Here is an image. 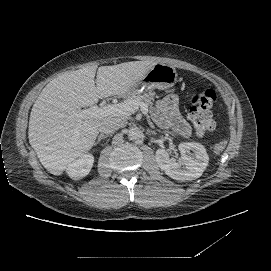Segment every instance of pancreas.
Instances as JSON below:
<instances>
[{
    "mask_svg": "<svg viewBox=\"0 0 271 271\" xmlns=\"http://www.w3.org/2000/svg\"><path fill=\"white\" fill-rule=\"evenodd\" d=\"M135 100L137 104H145L150 109L153 107V102L155 101V92H147L144 94H132L128 97L127 101ZM175 137V136H174Z\"/></svg>",
    "mask_w": 271,
    "mask_h": 271,
    "instance_id": "pancreas-1",
    "label": "pancreas"
}]
</instances>
